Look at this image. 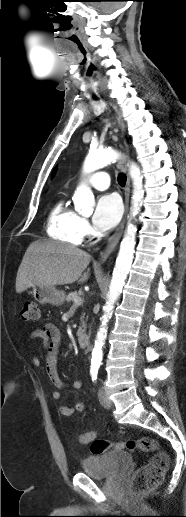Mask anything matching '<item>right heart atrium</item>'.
I'll return each instance as SVG.
<instances>
[{
  "label": "right heart atrium",
  "instance_id": "right-heart-atrium-1",
  "mask_svg": "<svg viewBox=\"0 0 186 517\" xmlns=\"http://www.w3.org/2000/svg\"><path fill=\"white\" fill-rule=\"evenodd\" d=\"M79 229H80V232H81L83 238L90 237L93 234V229H92L91 225L84 218H80Z\"/></svg>",
  "mask_w": 186,
  "mask_h": 517
}]
</instances>
